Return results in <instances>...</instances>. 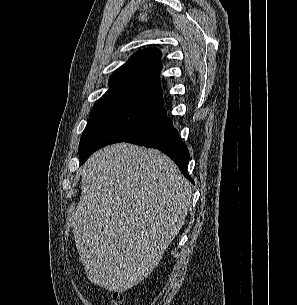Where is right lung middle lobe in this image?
<instances>
[{"label":"right lung middle lobe","instance_id":"1","mask_svg":"<svg viewBox=\"0 0 297 305\" xmlns=\"http://www.w3.org/2000/svg\"><path fill=\"white\" fill-rule=\"evenodd\" d=\"M94 107L80 140V164L97 149L125 141L166 116L162 103L148 99L120 98Z\"/></svg>","mask_w":297,"mask_h":305}]
</instances>
